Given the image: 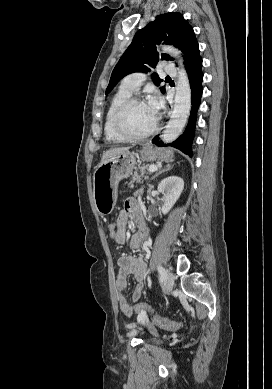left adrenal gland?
Listing matches in <instances>:
<instances>
[{
    "mask_svg": "<svg viewBox=\"0 0 272 389\" xmlns=\"http://www.w3.org/2000/svg\"><path fill=\"white\" fill-rule=\"evenodd\" d=\"M169 169H170V165H167L166 168H164V169L160 170L159 172H157V173L152 177V179H154L155 177H157L158 175H160L161 173H163V172H165V171H167V170H169Z\"/></svg>",
    "mask_w": 272,
    "mask_h": 389,
    "instance_id": "a2214340",
    "label": "left adrenal gland"
}]
</instances>
